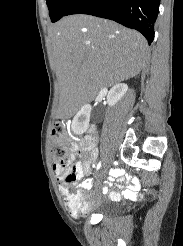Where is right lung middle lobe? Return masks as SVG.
<instances>
[{
	"label": "right lung middle lobe",
	"instance_id": "obj_1",
	"mask_svg": "<svg viewBox=\"0 0 183 246\" xmlns=\"http://www.w3.org/2000/svg\"><path fill=\"white\" fill-rule=\"evenodd\" d=\"M52 22L58 21L65 16L66 12L76 0H46Z\"/></svg>",
	"mask_w": 183,
	"mask_h": 246
}]
</instances>
